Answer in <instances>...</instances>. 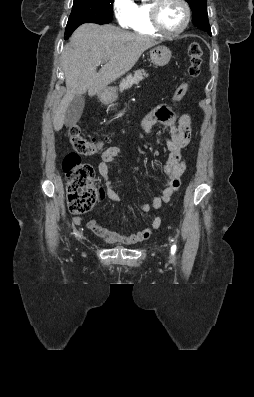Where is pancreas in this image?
Listing matches in <instances>:
<instances>
[{
    "label": "pancreas",
    "instance_id": "1",
    "mask_svg": "<svg viewBox=\"0 0 254 397\" xmlns=\"http://www.w3.org/2000/svg\"><path fill=\"white\" fill-rule=\"evenodd\" d=\"M144 77H148V74L142 70H136L134 74H128L126 78L122 79L119 84L120 91L126 90L132 87L134 84H138Z\"/></svg>",
    "mask_w": 254,
    "mask_h": 397
}]
</instances>
